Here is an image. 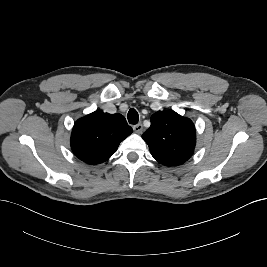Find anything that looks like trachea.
I'll list each match as a JSON object with an SVG mask.
<instances>
[{"instance_id":"obj_1","label":"trachea","mask_w":267,"mask_h":267,"mask_svg":"<svg viewBox=\"0 0 267 267\" xmlns=\"http://www.w3.org/2000/svg\"><path fill=\"white\" fill-rule=\"evenodd\" d=\"M127 118L130 124H137L139 121L138 112L135 109L131 108L128 112Z\"/></svg>"}]
</instances>
